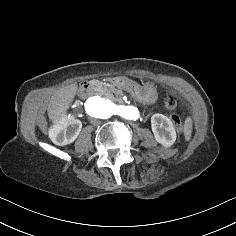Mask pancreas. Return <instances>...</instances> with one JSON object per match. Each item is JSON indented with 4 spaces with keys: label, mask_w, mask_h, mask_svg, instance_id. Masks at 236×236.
Masks as SVG:
<instances>
[{
    "label": "pancreas",
    "mask_w": 236,
    "mask_h": 236,
    "mask_svg": "<svg viewBox=\"0 0 236 236\" xmlns=\"http://www.w3.org/2000/svg\"><path fill=\"white\" fill-rule=\"evenodd\" d=\"M94 85L97 88V94L98 95H100L102 97H105V98H108V99H113L114 98V96L112 94L113 87H109L107 84H105L101 81H98V80L94 81Z\"/></svg>",
    "instance_id": "obj_1"
}]
</instances>
